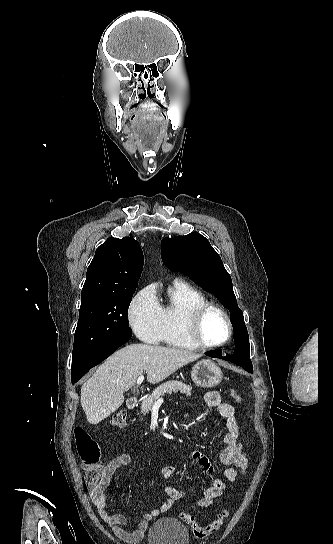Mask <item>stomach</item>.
I'll return each instance as SVG.
<instances>
[{"mask_svg":"<svg viewBox=\"0 0 333 544\" xmlns=\"http://www.w3.org/2000/svg\"><path fill=\"white\" fill-rule=\"evenodd\" d=\"M191 378L199 387L212 388L222 381L223 373L216 363L204 359L193 366Z\"/></svg>","mask_w":333,"mask_h":544,"instance_id":"0dacf381","label":"stomach"}]
</instances>
